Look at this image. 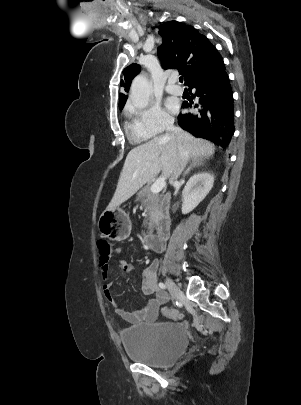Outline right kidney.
I'll return each mask as SVG.
<instances>
[{
    "label": "right kidney",
    "instance_id": "1",
    "mask_svg": "<svg viewBox=\"0 0 301 405\" xmlns=\"http://www.w3.org/2000/svg\"><path fill=\"white\" fill-rule=\"evenodd\" d=\"M213 184L214 176L208 172L191 176L182 191V213L187 214L194 210L210 192Z\"/></svg>",
    "mask_w": 301,
    "mask_h": 405
}]
</instances>
